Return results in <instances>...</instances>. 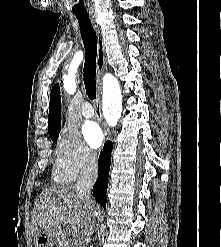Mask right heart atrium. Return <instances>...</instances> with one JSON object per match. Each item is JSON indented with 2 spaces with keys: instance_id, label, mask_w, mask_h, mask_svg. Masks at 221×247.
<instances>
[{
  "instance_id": "obj_1",
  "label": "right heart atrium",
  "mask_w": 221,
  "mask_h": 247,
  "mask_svg": "<svg viewBox=\"0 0 221 247\" xmlns=\"http://www.w3.org/2000/svg\"><path fill=\"white\" fill-rule=\"evenodd\" d=\"M95 154L70 128L61 130L55 147L53 178L60 183L74 181L80 174L91 169Z\"/></svg>"
}]
</instances>
